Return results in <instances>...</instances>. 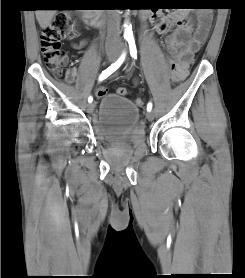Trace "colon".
Wrapping results in <instances>:
<instances>
[{
	"mask_svg": "<svg viewBox=\"0 0 245 278\" xmlns=\"http://www.w3.org/2000/svg\"><path fill=\"white\" fill-rule=\"evenodd\" d=\"M203 2L198 5L199 8L205 11L213 10V5L209 3V0H202ZM71 33V25L67 15L57 14L52 19L50 25L44 27L40 31V44L41 52L43 56L44 63L46 67L51 71V73L60 77L62 74L63 66L66 64L67 55L61 49V40L68 37ZM172 79L175 83L182 80V77L177 73L174 66L171 67ZM100 92L105 93L106 90H100ZM116 92L120 96H127L128 90L124 87H118ZM138 108L144 105V100L137 97L134 100Z\"/></svg>",
	"mask_w": 245,
	"mask_h": 278,
	"instance_id": "colon-1",
	"label": "colon"
}]
</instances>
